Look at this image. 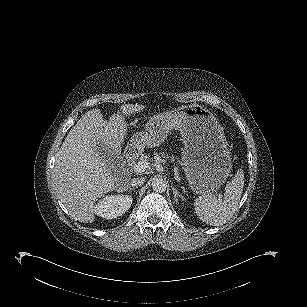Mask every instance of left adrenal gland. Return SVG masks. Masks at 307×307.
<instances>
[{
  "instance_id": "left-adrenal-gland-1",
  "label": "left adrenal gland",
  "mask_w": 307,
  "mask_h": 307,
  "mask_svg": "<svg viewBox=\"0 0 307 307\" xmlns=\"http://www.w3.org/2000/svg\"><path fill=\"white\" fill-rule=\"evenodd\" d=\"M172 190L176 203H178V198H180L182 201H185V197L182 196L174 186H172Z\"/></svg>"
}]
</instances>
